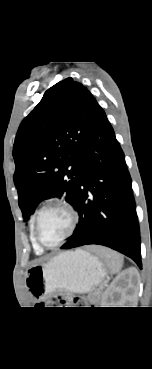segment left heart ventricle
Here are the masks:
<instances>
[{
  "mask_svg": "<svg viewBox=\"0 0 152 369\" xmlns=\"http://www.w3.org/2000/svg\"><path fill=\"white\" fill-rule=\"evenodd\" d=\"M70 216L60 206H51L41 215L39 220V236L47 245L59 241L68 231Z\"/></svg>",
  "mask_w": 152,
  "mask_h": 369,
  "instance_id": "obj_1",
  "label": "left heart ventricle"
}]
</instances>
